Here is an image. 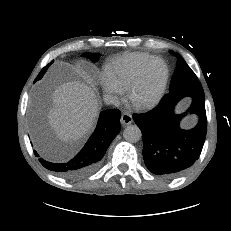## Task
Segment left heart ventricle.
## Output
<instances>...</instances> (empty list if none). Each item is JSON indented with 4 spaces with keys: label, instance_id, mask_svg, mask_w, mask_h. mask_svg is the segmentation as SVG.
<instances>
[{
    "label": "left heart ventricle",
    "instance_id": "obj_1",
    "mask_svg": "<svg viewBox=\"0 0 231 231\" xmlns=\"http://www.w3.org/2000/svg\"><path fill=\"white\" fill-rule=\"evenodd\" d=\"M163 76V66L154 62L146 71L143 81L134 94L136 102H143L150 99L157 91Z\"/></svg>",
    "mask_w": 231,
    "mask_h": 231
}]
</instances>
